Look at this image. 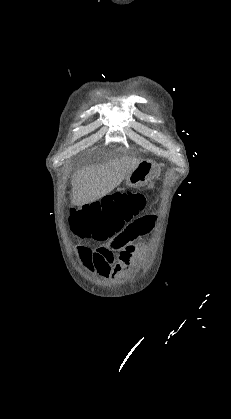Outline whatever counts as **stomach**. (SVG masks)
<instances>
[{
	"label": "stomach",
	"mask_w": 231,
	"mask_h": 419,
	"mask_svg": "<svg viewBox=\"0 0 231 419\" xmlns=\"http://www.w3.org/2000/svg\"><path fill=\"white\" fill-rule=\"evenodd\" d=\"M154 172L155 163L151 160H143L126 177V185L129 187H143L152 178Z\"/></svg>",
	"instance_id": "stomach-1"
}]
</instances>
